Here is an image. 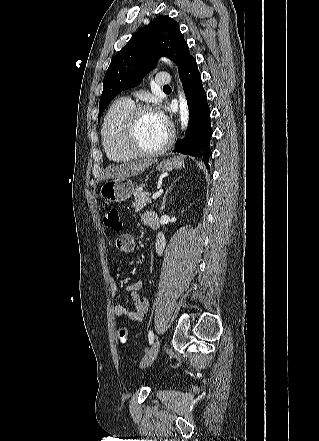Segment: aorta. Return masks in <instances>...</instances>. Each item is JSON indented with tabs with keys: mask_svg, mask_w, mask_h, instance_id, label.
I'll list each match as a JSON object with an SVG mask.
<instances>
[{
	"mask_svg": "<svg viewBox=\"0 0 319 441\" xmlns=\"http://www.w3.org/2000/svg\"><path fill=\"white\" fill-rule=\"evenodd\" d=\"M162 61H164V63H166L170 67H173V63L169 59L162 58ZM178 97H179V108H180L179 114H180L181 128L186 129L189 122V109H188L186 97L182 90L179 91Z\"/></svg>",
	"mask_w": 319,
	"mask_h": 441,
	"instance_id": "1",
	"label": "aorta"
}]
</instances>
